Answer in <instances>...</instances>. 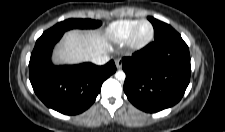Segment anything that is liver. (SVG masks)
<instances>
[{
  "instance_id": "liver-1",
  "label": "liver",
  "mask_w": 225,
  "mask_h": 132,
  "mask_svg": "<svg viewBox=\"0 0 225 132\" xmlns=\"http://www.w3.org/2000/svg\"><path fill=\"white\" fill-rule=\"evenodd\" d=\"M109 47L105 35L95 31L71 30L56 46L53 62L57 65L78 64L105 55Z\"/></svg>"
}]
</instances>
